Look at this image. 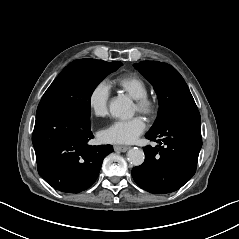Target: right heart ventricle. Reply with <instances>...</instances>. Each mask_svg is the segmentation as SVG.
Masks as SVG:
<instances>
[{
	"label": "right heart ventricle",
	"mask_w": 239,
	"mask_h": 239,
	"mask_svg": "<svg viewBox=\"0 0 239 239\" xmlns=\"http://www.w3.org/2000/svg\"><path fill=\"white\" fill-rule=\"evenodd\" d=\"M116 83L134 98L145 96L148 93L147 83L135 74L118 77Z\"/></svg>",
	"instance_id": "e07e8e85"
}]
</instances>
